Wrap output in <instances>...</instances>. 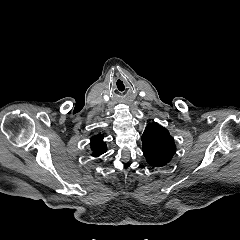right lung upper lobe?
Wrapping results in <instances>:
<instances>
[{"instance_id":"obj_1","label":"right lung upper lobe","mask_w":240,"mask_h":240,"mask_svg":"<svg viewBox=\"0 0 240 240\" xmlns=\"http://www.w3.org/2000/svg\"><path fill=\"white\" fill-rule=\"evenodd\" d=\"M103 135H96L91 137L92 156L98 157L107 151L106 143L103 141Z\"/></svg>"}]
</instances>
